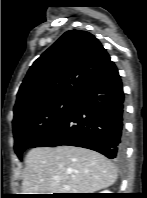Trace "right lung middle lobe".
Returning <instances> with one entry per match:
<instances>
[{
    "label": "right lung middle lobe",
    "instance_id": "right-lung-middle-lobe-1",
    "mask_svg": "<svg viewBox=\"0 0 147 198\" xmlns=\"http://www.w3.org/2000/svg\"><path fill=\"white\" fill-rule=\"evenodd\" d=\"M75 100H55L40 105L13 121L14 150L23 152L51 131L70 111Z\"/></svg>",
    "mask_w": 147,
    "mask_h": 198
}]
</instances>
